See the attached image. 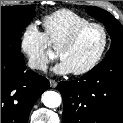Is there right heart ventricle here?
I'll list each match as a JSON object with an SVG mask.
<instances>
[{
    "label": "right heart ventricle",
    "instance_id": "1",
    "mask_svg": "<svg viewBox=\"0 0 123 123\" xmlns=\"http://www.w3.org/2000/svg\"><path fill=\"white\" fill-rule=\"evenodd\" d=\"M91 21L68 9L57 10L42 19L49 46L58 50L61 44L80 26Z\"/></svg>",
    "mask_w": 123,
    "mask_h": 123
}]
</instances>
